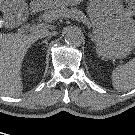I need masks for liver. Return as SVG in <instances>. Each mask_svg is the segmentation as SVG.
Segmentation results:
<instances>
[{"label":"liver","mask_w":135,"mask_h":135,"mask_svg":"<svg viewBox=\"0 0 135 135\" xmlns=\"http://www.w3.org/2000/svg\"><path fill=\"white\" fill-rule=\"evenodd\" d=\"M39 33L29 36L0 33V95L15 97L21 94L22 61L27 50L40 38Z\"/></svg>","instance_id":"1"}]
</instances>
